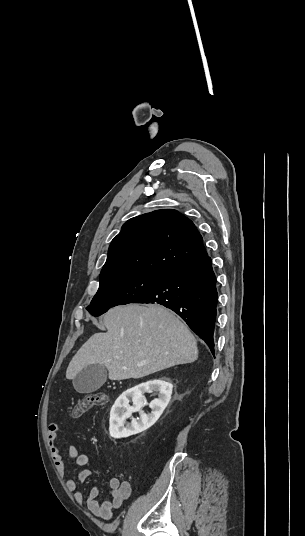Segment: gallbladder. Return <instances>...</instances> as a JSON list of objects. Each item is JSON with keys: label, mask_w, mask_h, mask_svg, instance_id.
<instances>
[{"label": "gallbladder", "mask_w": 305, "mask_h": 536, "mask_svg": "<svg viewBox=\"0 0 305 536\" xmlns=\"http://www.w3.org/2000/svg\"><path fill=\"white\" fill-rule=\"evenodd\" d=\"M107 380V370L103 364H90L78 372L72 380L76 392L79 394H91L99 390Z\"/></svg>", "instance_id": "gallbladder-1"}]
</instances>
